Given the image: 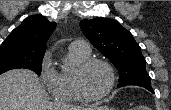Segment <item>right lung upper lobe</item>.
Masks as SVG:
<instances>
[{
  "label": "right lung upper lobe",
  "mask_w": 171,
  "mask_h": 110,
  "mask_svg": "<svg viewBox=\"0 0 171 110\" xmlns=\"http://www.w3.org/2000/svg\"><path fill=\"white\" fill-rule=\"evenodd\" d=\"M55 28L56 23H50L43 16H30L11 32L1 46H15L28 52L44 54L46 42Z\"/></svg>",
  "instance_id": "1"
}]
</instances>
